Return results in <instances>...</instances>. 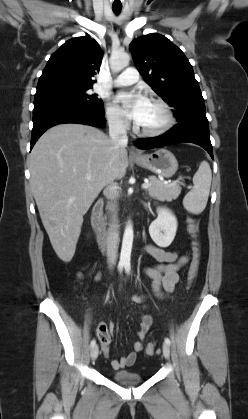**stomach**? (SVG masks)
Returning <instances> with one entry per match:
<instances>
[{
	"label": "stomach",
	"mask_w": 248,
	"mask_h": 419,
	"mask_svg": "<svg viewBox=\"0 0 248 419\" xmlns=\"http://www.w3.org/2000/svg\"><path fill=\"white\" fill-rule=\"evenodd\" d=\"M133 161L138 166L165 178L173 176L178 169V162L175 156L166 149L156 150L151 154L134 158Z\"/></svg>",
	"instance_id": "obj_1"
}]
</instances>
